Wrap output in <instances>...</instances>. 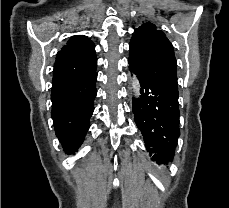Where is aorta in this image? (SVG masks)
Listing matches in <instances>:
<instances>
[{
    "instance_id": "1",
    "label": "aorta",
    "mask_w": 229,
    "mask_h": 208,
    "mask_svg": "<svg viewBox=\"0 0 229 208\" xmlns=\"http://www.w3.org/2000/svg\"><path fill=\"white\" fill-rule=\"evenodd\" d=\"M131 81H132L133 96L135 98H139V95H140V83H139V80L137 79L136 75L133 74V77H132Z\"/></svg>"
}]
</instances>
